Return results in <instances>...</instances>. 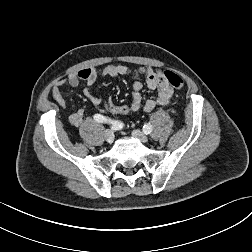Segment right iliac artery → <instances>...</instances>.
<instances>
[{
  "instance_id": "obj_1",
  "label": "right iliac artery",
  "mask_w": 252,
  "mask_h": 252,
  "mask_svg": "<svg viewBox=\"0 0 252 252\" xmlns=\"http://www.w3.org/2000/svg\"><path fill=\"white\" fill-rule=\"evenodd\" d=\"M94 120L96 121V122H98V123H110V124H112V125H119V126H121V127H123L124 126V124L123 123H121V122H119V121H112L111 119H107V118H105V117H103L102 115H100V114H95L94 115Z\"/></svg>"
}]
</instances>
